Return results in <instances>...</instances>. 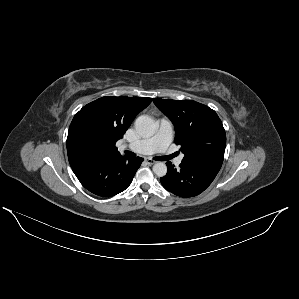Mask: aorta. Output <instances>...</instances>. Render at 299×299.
<instances>
[{
	"label": "aorta",
	"mask_w": 299,
	"mask_h": 299,
	"mask_svg": "<svg viewBox=\"0 0 299 299\" xmlns=\"http://www.w3.org/2000/svg\"><path fill=\"white\" fill-rule=\"evenodd\" d=\"M135 129L142 138L152 137L156 132V124L154 120L147 116H139L135 121ZM153 172L158 177H163L167 173V166L164 162H157L153 165Z\"/></svg>",
	"instance_id": "aorta-1"
}]
</instances>
